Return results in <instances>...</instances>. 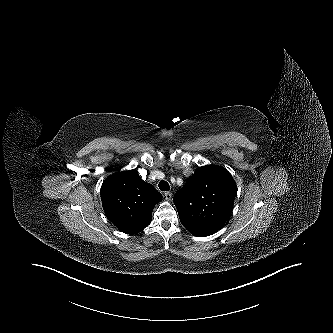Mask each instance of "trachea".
<instances>
[{"mask_svg":"<svg viewBox=\"0 0 333 333\" xmlns=\"http://www.w3.org/2000/svg\"><path fill=\"white\" fill-rule=\"evenodd\" d=\"M159 188L162 191H169L170 186H169V183L167 181L162 180V181L159 182Z\"/></svg>","mask_w":333,"mask_h":333,"instance_id":"3493384b","label":"trachea"}]
</instances>
